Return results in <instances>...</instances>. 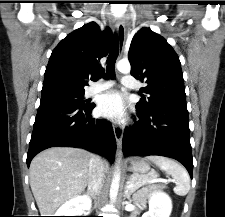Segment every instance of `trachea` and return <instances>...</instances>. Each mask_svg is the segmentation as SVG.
Masks as SVG:
<instances>
[{"label": "trachea", "mask_w": 225, "mask_h": 217, "mask_svg": "<svg viewBox=\"0 0 225 217\" xmlns=\"http://www.w3.org/2000/svg\"><path fill=\"white\" fill-rule=\"evenodd\" d=\"M118 39L117 37L115 36L114 39H113V43H112V46H111V50H110V53H109V56L107 58V61H106V77L107 78H114L115 77V62H116V59L118 57Z\"/></svg>", "instance_id": "obj_1"}]
</instances>
